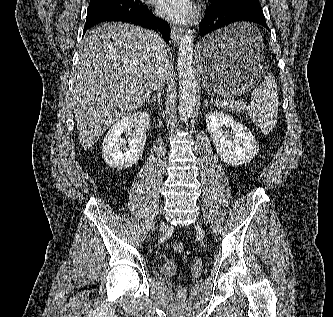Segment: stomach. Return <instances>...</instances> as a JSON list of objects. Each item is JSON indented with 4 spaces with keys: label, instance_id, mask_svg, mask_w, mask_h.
<instances>
[{
    "label": "stomach",
    "instance_id": "1",
    "mask_svg": "<svg viewBox=\"0 0 333 317\" xmlns=\"http://www.w3.org/2000/svg\"><path fill=\"white\" fill-rule=\"evenodd\" d=\"M263 41L256 24H227L225 29L206 33L198 59L202 81L208 94L231 98L266 81Z\"/></svg>",
    "mask_w": 333,
    "mask_h": 317
}]
</instances>
